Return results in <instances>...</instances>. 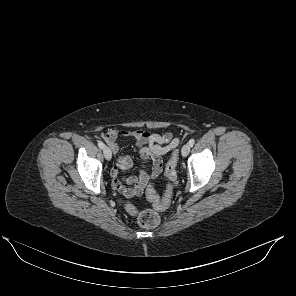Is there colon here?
<instances>
[{
  "mask_svg": "<svg viewBox=\"0 0 296 296\" xmlns=\"http://www.w3.org/2000/svg\"><path fill=\"white\" fill-rule=\"evenodd\" d=\"M177 160L178 154L177 152H174L165 170L168 186L163 198L158 197L152 185H149L146 189L147 198L152 203L155 210H165L170 204L172 195V181L175 178V167ZM126 209L130 214L137 216L139 225L144 228H154L160 223V216L154 210L138 211L131 205H127Z\"/></svg>",
  "mask_w": 296,
  "mask_h": 296,
  "instance_id": "5ec220e1",
  "label": "colon"
}]
</instances>
